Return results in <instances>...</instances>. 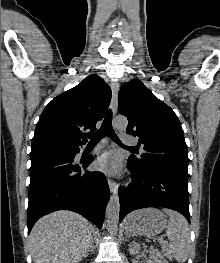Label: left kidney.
<instances>
[{
	"mask_svg": "<svg viewBox=\"0 0 220 263\" xmlns=\"http://www.w3.org/2000/svg\"><path fill=\"white\" fill-rule=\"evenodd\" d=\"M129 248L130 254L136 255L140 252V245L136 242L131 243ZM150 258L152 259V263H168L167 260L163 258L161 253L155 249L151 248L150 251Z\"/></svg>",
	"mask_w": 220,
	"mask_h": 263,
	"instance_id": "1",
	"label": "left kidney"
}]
</instances>
